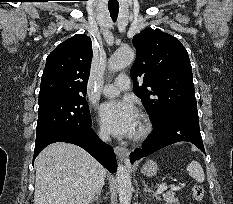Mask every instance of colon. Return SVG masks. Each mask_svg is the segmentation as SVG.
Instances as JSON below:
<instances>
[{"label": "colon", "mask_w": 233, "mask_h": 204, "mask_svg": "<svg viewBox=\"0 0 233 204\" xmlns=\"http://www.w3.org/2000/svg\"><path fill=\"white\" fill-rule=\"evenodd\" d=\"M204 194H205V191H204V188L203 186L199 185V184H194L193 187H192V195H193V198L196 202H201L204 198Z\"/></svg>", "instance_id": "5ec220e1"}]
</instances>
